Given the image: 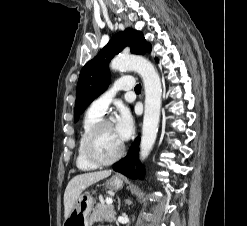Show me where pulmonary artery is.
<instances>
[{
  "mask_svg": "<svg viewBox=\"0 0 247 226\" xmlns=\"http://www.w3.org/2000/svg\"><path fill=\"white\" fill-rule=\"evenodd\" d=\"M132 88H134V79L131 76L119 78L110 89L93 100L90 105V110L100 116L104 115L118 91H127Z\"/></svg>",
  "mask_w": 247,
  "mask_h": 226,
  "instance_id": "obj_1",
  "label": "pulmonary artery"
}]
</instances>
